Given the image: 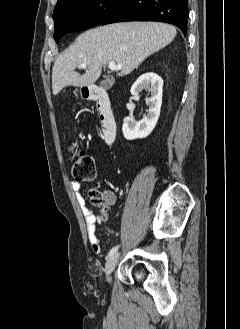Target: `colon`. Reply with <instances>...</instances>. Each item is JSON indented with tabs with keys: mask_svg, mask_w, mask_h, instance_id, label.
Instances as JSON below:
<instances>
[{
	"mask_svg": "<svg viewBox=\"0 0 240 329\" xmlns=\"http://www.w3.org/2000/svg\"><path fill=\"white\" fill-rule=\"evenodd\" d=\"M71 150L75 152L72 161L71 174L77 182H91L95 180L97 175L96 165L94 158L85 151H75L72 147ZM91 202L101 208V215L104 220L108 218L109 203L111 196L106 192L99 190H92L90 192Z\"/></svg>",
	"mask_w": 240,
	"mask_h": 329,
	"instance_id": "1",
	"label": "colon"
}]
</instances>
